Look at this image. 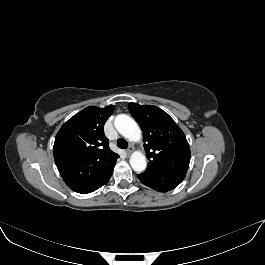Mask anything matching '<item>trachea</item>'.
Instances as JSON below:
<instances>
[{
    "instance_id": "obj_1",
    "label": "trachea",
    "mask_w": 265,
    "mask_h": 265,
    "mask_svg": "<svg viewBox=\"0 0 265 265\" xmlns=\"http://www.w3.org/2000/svg\"><path fill=\"white\" fill-rule=\"evenodd\" d=\"M117 146H118L119 148H121V149H126V148L128 147V143H127V141H126L125 139L120 138V139H118V141H117Z\"/></svg>"
}]
</instances>
